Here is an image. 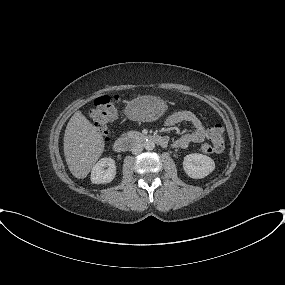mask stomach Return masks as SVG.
<instances>
[{"label":"stomach","mask_w":285,"mask_h":285,"mask_svg":"<svg viewBox=\"0 0 285 285\" xmlns=\"http://www.w3.org/2000/svg\"><path fill=\"white\" fill-rule=\"evenodd\" d=\"M166 110V101L157 96L144 95L130 101L125 108V113L133 120L154 121Z\"/></svg>","instance_id":"stomach-1"}]
</instances>
